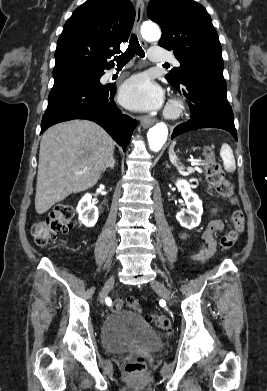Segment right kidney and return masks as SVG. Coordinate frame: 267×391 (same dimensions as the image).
I'll list each match as a JSON object with an SVG mask.
<instances>
[{
	"label": "right kidney",
	"instance_id": "right-kidney-1",
	"mask_svg": "<svg viewBox=\"0 0 267 391\" xmlns=\"http://www.w3.org/2000/svg\"><path fill=\"white\" fill-rule=\"evenodd\" d=\"M91 199L92 195L87 193L82 197L77 206L79 220L86 227H93L98 220V208L91 203Z\"/></svg>",
	"mask_w": 267,
	"mask_h": 391
}]
</instances>
